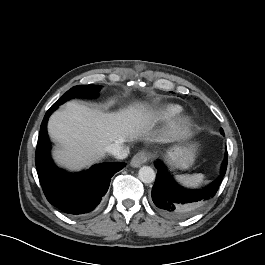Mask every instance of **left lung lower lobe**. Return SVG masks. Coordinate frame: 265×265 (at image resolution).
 Wrapping results in <instances>:
<instances>
[{"mask_svg": "<svg viewBox=\"0 0 265 265\" xmlns=\"http://www.w3.org/2000/svg\"><path fill=\"white\" fill-rule=\"evenodd\" d=\"M224 135V132L221 131ZM228 154L221 166L220 176L206 188L190 190L175 182L165 165L157 160L156 181L152 188V200L158 211L167 218L185 219L203 210L217 193L227 169Z\"/></svg>", "mask_w": 265, "mask_h": 265, "instance_id": "obj_1", "label": "left lung lower lobe"}]
</instances>
